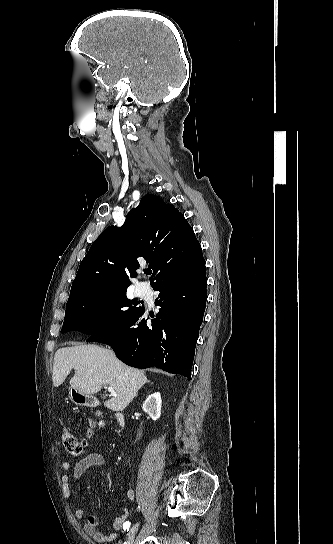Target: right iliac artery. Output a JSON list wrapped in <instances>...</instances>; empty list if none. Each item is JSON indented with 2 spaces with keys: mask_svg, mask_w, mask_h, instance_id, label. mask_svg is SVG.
I'll return each mask as SVG.
<instances>
[{
  "mask_svg": "<svg viewBox=\"0 0 333 544\" xmlns=\"http://www.w3.org/2000/svg\"><path fill=\"white\" fill-rule=\"evenodd\" d=\"M129 527H130V522L127 521V522L123 525V529H124L125 531H128V530H129Z\"/></svg>",
  "mask_w": 333,
  "mask_h": 544,
  "instance_id": "82829eb1",
  "label": "right iliac artery"
}]
</instances>
